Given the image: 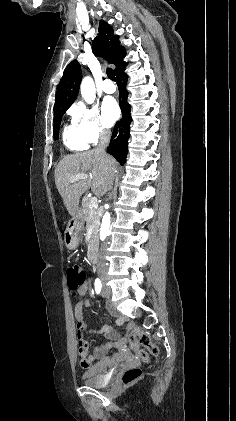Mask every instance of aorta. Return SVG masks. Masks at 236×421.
Instances as JSON below:
<instances>
[{
    "mask_svg": "<svg viewBox=\"0 0 236 421\" xmlns=\"http://www.w3.org/2000/svg\"><path fill=\"white\" fill-rule=\"evenodd\" d=\"M81 94L87 102H93L95 98V86L94 82L91 78V76H85L81 82L80 86ZM110 213H105L102 223H101V229H100V239L101 241H104L106 239L108 233H109V227H110Z\"/></svg>",
    "mask_w": 236,
    "mask_h": 421,
    "instance_id": "762f6f07",
    "label": "aorta"
}]
</instances>
